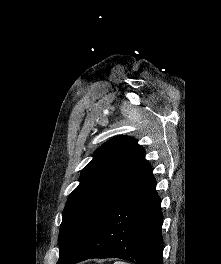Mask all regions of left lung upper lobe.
Returning <instances> with one entry per match:
<instances>
[{
	"instance_id": "5c2ea615",
	"label": "left lung upper lobe",
	"mask_w": 221,
	"mask_h": 264,
	"mask_svg": "<svg viewBox=\"0 0 221 264\" xmlns=\"http://www.w3.org/2000/svg\"><path fill=\"white\" fill-rule=\"evenodd\" d=\"M151 170L144 149L132 137L117 136L99 147L63 210L59 259L73 251Z\"/></svg>"
}]
</instances>
